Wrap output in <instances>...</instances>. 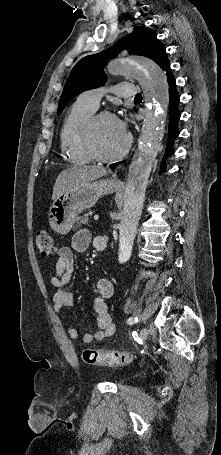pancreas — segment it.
Here are the masks:
<instances>
[{
    "label": "pancreas",
    "instance_id": "cf45deb5",
    "mask_svg": "<svg viewBox=\"0 0 221 455\" xmlns=\"http://www.w3.org/2000/svg\"><path fill=\"white\" fill-rule=\"evenodd\" d=\"M90 215H91L90 213H87V214H84L83 216L79 217L77 219V223H76L75 227L80 228L82 226V224H88Z\"/></svg>",
    "mask_w": 221,
    "mask_h": 455
}]
</instances>
